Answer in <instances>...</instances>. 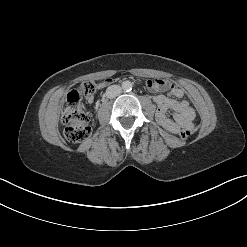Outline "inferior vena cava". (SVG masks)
<instances>
[{
	"mask_svg": "<svg viewBox=\"0 0 247 247\" xmlns=\"http://www.w3.org/2000/svg\"><path fill=\"white\" fill-rule=\"evenodd\" d=\"M122 92V88L119 85H111L106 89V96L108 98H115Z\"/></svg>",
	"mask_w": 247,
	"mask_h": 247,
	"instance_id": "inferior-vena-cava-1",
	"label": "inferior vena cava"
}]
</instances>
